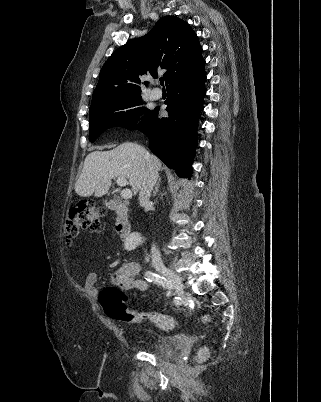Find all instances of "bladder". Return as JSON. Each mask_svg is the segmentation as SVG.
I'll use <instances>...</instances> for the list:
<instances>
[{"instance_id":"31cf9c89","label":"bladder","mask_w":321,"mask_h":402,"mask_svg":"<svg viewBox=\"0 0 321 402\" xmlns=\"http://www.w3.org/2000/svg\"><path fill=\"white\" fill-rule=\"evenodd\" d=\"M175 350V345H173L169 340H164L163 345L158 349V354L162 356H170L174 354Z\"/></svg>"}]
</instances>
